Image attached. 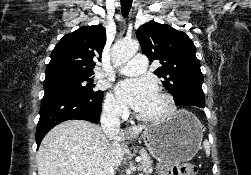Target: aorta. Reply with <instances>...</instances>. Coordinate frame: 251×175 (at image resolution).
I'll use <instances>...</instances> for the list:
<instances>
[{
  "instance_id": "1",
  "label": "aorta",
  "mask_w": 251,
  "mask_h": 175,
  "mask_svg": "<svg viewBox=\"0 0 251 175\" xmlns=\"http://www.w3.org/2000/svg\"><path fill=\"white\" fill-rule=\"evenodd\" d=\"M140 48L138 40H131V42H116L111 48V60L113 66H124L137 54Z\"/></svg>"
}]
</instances>
